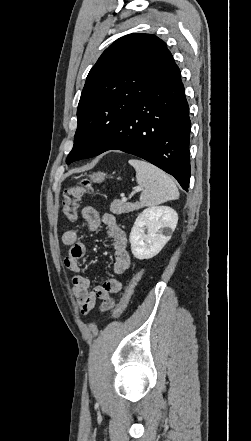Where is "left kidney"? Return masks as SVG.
Masks as SVG:
<instances>
[{
  "instance_id": "1",
  "label": "left kidney",
  "mask_w": 251,
  "mask_h": 441,
  "mask_svg": "<svg viewBox=\"0 0 251 441\" xmlns=\"http://www.w3.org/2000/svg\"><path fill=\"white\" fill-rule=\"evenodd\" d=\"M177 222V212L168 206L143 210L135 220L129 237L134 257L143 260L156 256L170 240Z\"/></svg>"
}]
</instances>
